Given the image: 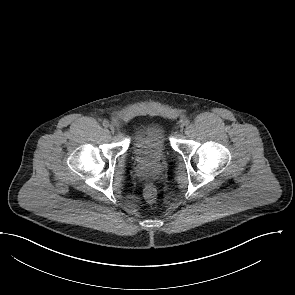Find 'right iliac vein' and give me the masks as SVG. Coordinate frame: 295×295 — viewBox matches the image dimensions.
<instances>
[{"label": "right iliac vein", "instance_id": "right-iliac-vein-1", "mask_svg": "<svg viewBox=\"0 0 295 295\" xmlns=\"http://www.w3.org/2000/svg\"><path fill=\"white\" fill-rule=\"evenodd\" d=\"M110 130H111L112 132H114V131H115V127H114L113 125H110Z\"/></svg>", "mask_w": 295, "mask_h": 295}]
</instances>
